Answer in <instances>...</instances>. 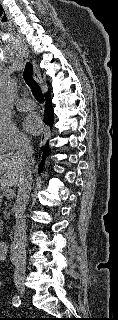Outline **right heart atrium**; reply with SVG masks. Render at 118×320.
<instances>
[{
    "mask_svg": "<svg viewBox=\"0 0 118 320\" xmlns=\"http://www.w3.org/2000/svg\"><path fill=\"white\" fill-rule=\"evenodd\" d=\"M28 143L26 134L15 125L0 124V152H9Z\"/></svg>",
    "mask_w": 118,
    "mask_h": 320,
    "instance_id": "1",
    "label": "right heart atrium"
}]
</instances>
